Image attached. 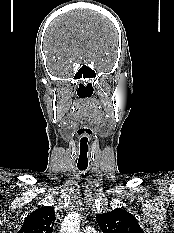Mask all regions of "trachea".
Returning <instances> with one entry per match:
<instances>
[{
    "label": "trachea",
    "mask_w": 174,
    "mask_h": 233,
    "mask_svg": "<svg viewBox=\"0 0 174 233\" xmlns=\"http://www.w3.org/2000/svg\"><path fill=\"white\" fill-rule=\"evenodd\" d=\"M78 169H79L80 171H85V170L87 169V167H79V166H78Z\"/></svg>",
    "instance_id": "1"
}]
</instances>
